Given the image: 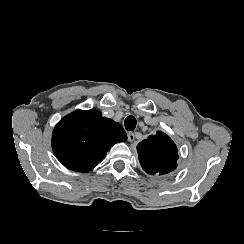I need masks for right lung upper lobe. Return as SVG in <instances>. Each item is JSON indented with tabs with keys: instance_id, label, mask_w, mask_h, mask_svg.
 Here are the masks:
<instances>
[{
	"instance_id": "obj_1",
	"label": "right lung upper lobe",
	"mask_w": 244,
	"mask_h": 244,
	"mask_svg": "<svg viewBox=\"0 0 244 244\" xmlns=\"http://www.w3.org/2000/svg\"><path fill=\"white\" fill-rule=\"evenodd\" d=\"M123 127L101 116L97 110H76L62 118L52 134V149L67 168L88 172L96 167L107 151L118 142H125Z\"/></svg>"
}]
</instances>
